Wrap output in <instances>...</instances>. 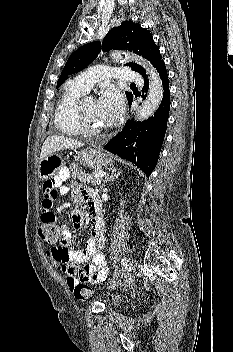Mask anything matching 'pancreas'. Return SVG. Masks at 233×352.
<instances>
[{
  "instance_id": "pancreas-1",
  "label": "pancreas",
  "mask_w": 233,
  "mask_h": 352,
  "mask_svg": "<svg viewBox=\"0 0 233 352\" xmlns=\"http://www.w3.org/2000/svg\"><path fill=\"white\" fill-rule=\"evenodd\" d=\"M70 169L72 171L73 179H78L83 182L91 183L94 186L100 185V183L102 182V178H96L93 175H88L87 173L79 169L78 165L75 163H72L70 165Z\"/></svg>"
}]
</instances>
